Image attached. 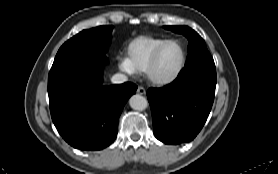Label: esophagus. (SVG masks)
<instances>
[{
    "label": "esophagus",
    "mask_w": 278,
    "mask_h": 174,
    "mask_svg": "<svg viewBox=\"0 0 278 174\" xmlns=\"http://www.w3.org/2000/svg\"><path fill=\"white\" fill-rule=\"evenodd\" d=\"M137 93L140 94V95H145V94H146V90H145L144 87L139 86V87L137 88Z\"/></svg>",
    "instance_id": "34e87169"
}]
</instances>
